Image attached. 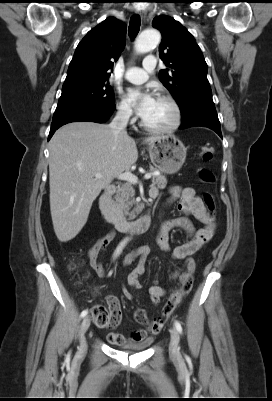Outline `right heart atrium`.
Masks as SVG:
<instances>
[{
  "label": "right heart atrium",
  "mask_w": 272,
  "mask_h": 401,
  "mask_svg": "<svg viewBox=\"0 0 272 401\" xmlns=\"http://www.w3.org/2000/svg\"><path fill=\"white\" fill-rule=\"evenodd\" d=\"M116 116L123 122H130L133 120L132 110L122 101L116 104Z\"/></svg>",
  "instance_id": "right-heart-atrium-1"
}]
</instances>
